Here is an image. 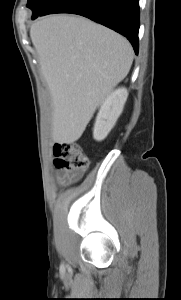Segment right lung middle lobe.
<instances>
[{
    "label": "right lung middle lobe",
    "mask_w": 181,
    "mask_h": 300,
    "mask_svg": "<svg viewBox=\"0 0 181 300\" xmlns=\"http://www.w3.org/2000/svg\"><path fill=\"white\" fill-rule=\"evenodd\" d=\"M55 1L56 0H28L27 7L32 10L33 16H37Z\"/></svg>",
    "instance_id": "dd1d6c3e"
}]
</instances>
